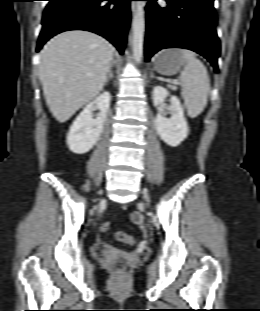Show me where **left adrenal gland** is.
<instances>
[{
	"instance_id": "a2214340",
	"label": "left adrenal gland",
	"mask_w": 260,
	"mask_h": 311,
	"mask_svg": "<svg viewBox=\"0 0 260 311\" xmlns=\"http://www.w3.org/2000/svg\"><path fill=\"white\" fill-rule=\"evenodd\" d=\"M150 77H151V78H154V77H155L154 74H153V72H151Z\"/></svg>"
}]
</instances>
